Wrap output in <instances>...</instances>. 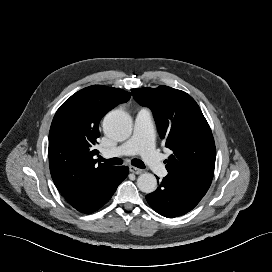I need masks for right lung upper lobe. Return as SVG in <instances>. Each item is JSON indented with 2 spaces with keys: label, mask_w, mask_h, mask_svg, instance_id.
I'll list each match as a JSON object with an SVG mask.
<instances>
[{
  "label": "right lung upper lobe",
  "mask_w": 272,
  "mask_h": 272,
  "mask_svg": "<svg viewBox=\"0 0 272 272\" xmlns=\"http://www.w3.org/2000/svg\"><path fill=\"white\" fill-rule=\"evenodd\" d=\"M130 97L118 88L93 85L76 92L57 110L49 132V164L67 201L86 194L116 171L117 167L97 163L98 151L92 146L100 137L101 118Z\"/></svg>",
  "instance_id": "cb5924a9"
}]
</instances>
